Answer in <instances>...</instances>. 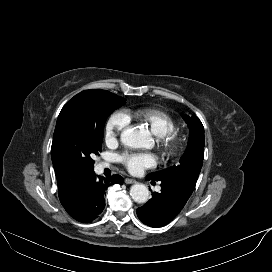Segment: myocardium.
<instances>
[{
    "label": "myocardium",
    "mask_w": 272,
    "mask_h": 272,
    "mask_svg": "<svg viewBox=\"0 0 272 272\" xmlns=\"http://www.w3.org/2000/svg\"><path fill=\"white\" fill-rule=\"evenodd\" d=\"M157 143L166 154L172 155L176 152L179 141L177 135L172 132L166 135L158 136Z\"/></svg>",
    "instance_id": "obj_1"
}]
</instances>
